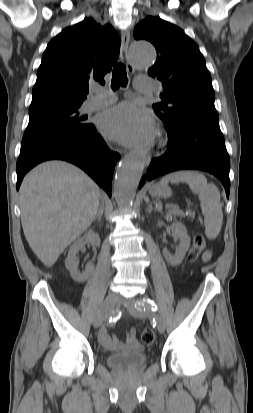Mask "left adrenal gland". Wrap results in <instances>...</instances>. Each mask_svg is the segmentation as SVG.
I'll use <instances>...</instances> for the list:
<instances>
[{
	"label": "left adrenal gland",
	"instance_id": "obj_1",
	"mask_svg": "<svg viewBox=\"0 0 253 413\" xmlns=\"http://www.w3.org/2000/svg\"><path fill=\"white\" fill-rule=\"evenodd\" d=\"M152 210H153L152 205L149 204L148 207H147V209H146V212H147L148 214H150V213L152 212Z\"/></svg>",
	"mask_w": 253,
	"mask_h": 413
}]
</instances>
